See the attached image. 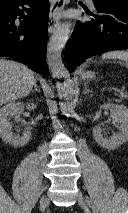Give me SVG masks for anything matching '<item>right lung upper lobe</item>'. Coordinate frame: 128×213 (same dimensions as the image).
I'll list each match as a JSON object with an SVG mask.
<instances>
[{
    "label": "right lung upper lobe",
    "instance_id": "1",
    "mask_svg": "<svg viewBox=\"0 0 128 213\" xmlns=\"http://www.w3.org/2000/svg\"><path fill=\"white\" fill-rule=\"evenodd\" d=\"M4 1H11V0H0V2H4Z\"/></svg>",
    "mask_w": 128,
    "mask_h": 213
}]
</instances>
